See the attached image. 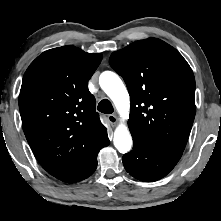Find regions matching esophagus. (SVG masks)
<instances>
[{
  "instance_id": "34e87169",
  "label": "esophagus",
  "mask_w": 221,
  "mask_h": 221,
  "mask_svg": "<svg viewBox=\"0 0 221 221\" xmlns=\"http://www.w3.org/2000/svg\"><path fill=\"white\" fill-rule=\"evenodd\" d=\"M107 118H108L109 122H110L111 124H113V125H116V124L118 123V118H117V116L114 115V114L108 115Z\"/></svg>"
}]
</instances>
